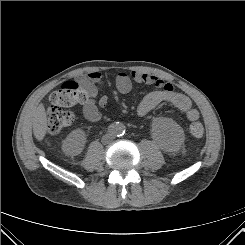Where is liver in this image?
Returning a JSON list of instances; mask_svg holds the SVG:
<instances>
[{"label":"liver","mask_w":245,"mask_h":245,"mask_svg":"<svg viewBox=\"0 0 245 245\" xmlns=\"http://www.w3.org/2000/svg\"><path fill=\"white\" fill-rule=\"evenodd\" d=\"M47 132V117L43 104H39L35 111L33 134L38 141H42Z\"/></svg>","instance_id":"obj_1"}]
</instances>
